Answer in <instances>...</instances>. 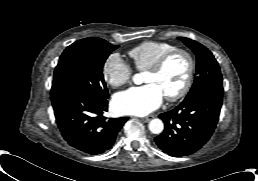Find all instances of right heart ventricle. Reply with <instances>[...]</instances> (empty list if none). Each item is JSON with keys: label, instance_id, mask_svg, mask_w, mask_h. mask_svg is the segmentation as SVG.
Returning a JSON list of instances; mask_svg holds the SVG:
<instances>
[{"label": "right heart ventricle", "instance_id": "e07e8e85", "mask_svg": "<svg viewBox=\"0 0 258 181\" xmlns=\"http://www.w3.org/2000/svg\"><path fill=\"white\" fill-rule=\"evenodd\" d=\"M173 44L162 41H144L128 51L136 69L143 71L152 66L163 54L175 49Z\"/></svg>", "mask_w": 258, "mask_h": 181}]
</instances>
